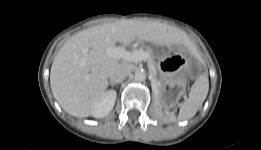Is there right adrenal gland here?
I'll return each instance as SVG.
<instances>
[{
  "instance_id": "2a0ac1e0",
  "label": "right adrenal gland",
  "mask_w": 261,
  "mask_h": 150,
  "mask_svg": "<svg viewBox=\"0 0 261 150\" xmlns=\"http://www.w3.org/2000/svg\"><path fill=\"white\" fill-rule=\"evenodd\" d=\"M109 85H111L112 87H114V86L116 85V83L109 81L108 84H107V86H109Z\"/></svg>"
}]
</instances>
